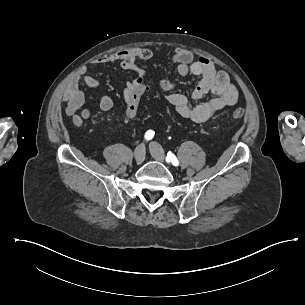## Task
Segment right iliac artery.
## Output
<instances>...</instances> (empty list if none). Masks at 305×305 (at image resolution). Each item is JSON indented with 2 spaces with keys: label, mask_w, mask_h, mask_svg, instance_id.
<instances>
[{
  "label": "right iliac artery",
  "mask_w": 305,
  "mask_h": 305,
  "mask_svg": "<svg viewBox=\"0 0 305 305\" xmlns=\"http://www.w3.org/2000/svg\"><path fill=\"white\" fill-rule=\"evenodd\" d=\"M154 134L155 132L153 130H148L146 133H145V139L146 140H150L154 137Z\"/></svg>",
  "instance_id": "obj_1"
}]
</instances>
